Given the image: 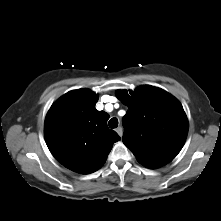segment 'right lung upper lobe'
<instances>
[{
  "instance_id": "1",
  "label": "right lung upper lobe",
  "mask_w": 221,
  "mask_h": 221,
  "mask_svg": "<svg viewBox=\"0 0 221 221\" xmlns=\"http://www.w3.org/2000/svg\"><path fill=\"white\" fill-rule=\"evenodd\" d=\"M98 95L73 90L59 98L47 113L44 133L52 155L72 171L89 174L105 163L118 134L107 127L109 115L98 111Z\"/></svg>"
}]
</instances>
